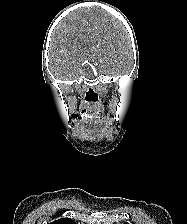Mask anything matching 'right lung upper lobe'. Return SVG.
Segmentation results:
<instances>
[{
  "label": "right lung upper lobe",
  "instance_id": "obj_1",
  "mask_svg": "<svg viewBox=\"0 0 187 224\" xmlns=\"http://www.w3.org/2000/svg\"><path fill=\"white\" fill-rule=\"evenodd\" d=\"M49 224H76L71 218H61Z\"/></svg>",
  "mask_w": 187,
  "mask_h": 224
}]
</instances>
